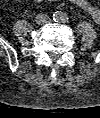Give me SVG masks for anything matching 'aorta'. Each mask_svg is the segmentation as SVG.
Instances as JSON below:
<instances>
[{
	"mask_svg": "<svg viewBox=\"0 0 100 118\" xmlns=\"http://www.w3.org/2000/svg\"><path fill=\"white\" fill-rule=\"evenodd\" d=\"M54 17H55V19H57V20L60 21V20H63L64 15L61 12H56V14L54 15Z\"/></svg>",
	"mask_w": 100,
	"mask_h": 118,
	"instance_id": "obj_1",
	"label": "aorta"
}]
</instances>
